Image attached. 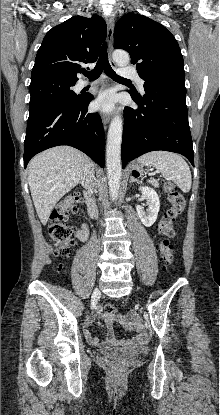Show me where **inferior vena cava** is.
I'll return each instance as SVG.
<instances>
[{
	"label": "inferior vena cava",
	"instance_id": "obj_1",
	"mask_svg": "<svg viewBox=\"0 0 220 415\" xmlns=\"http://www.w3.org/2000/svg\"><path fill=\"white\" fill-rule=\"evenodd\" d=\"M92 177H91V174L89 175V176H87L86 178H84L83 180H82V184L85 186V188H87L88 190H90V191H92L93 190V186L92 185H90L89 183H90V181H92Z\"/></svg>",
	"mask_w": 220,
	"mask_h": 415
}]
</instances>
